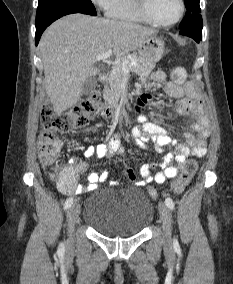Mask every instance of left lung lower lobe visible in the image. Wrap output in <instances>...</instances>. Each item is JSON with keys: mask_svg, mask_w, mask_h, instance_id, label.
Here are the masks:
<instances>
[{"mask_svg": "<svg viewBox=\"0 0 233 284\" xmlns=\"http://www.w3.org/2000/svg\"><path fill=\"white\" fill-rule=\"evenodd\" d=\"M180 34L189 36L198 43L202 40V29H181Z\"/></svg>", "mask_w": 233, "mask_h": 284, "instance_id": "1", "label": "left lung lower lobe"}]
</instances>
